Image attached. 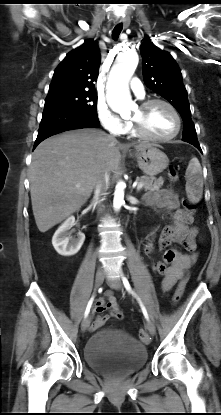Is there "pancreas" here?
Instances as JSON below:
<instances>
[{
	"label": "pancreas",
	"instance_id": "pancreas-1",
	"mask_svg": "<svg viewBox=\"0 0 221 415\" xmlns=\"http://www.w3.org/2000/svg\"><path fill=\"white\" fill-rule=\"evenodd\" d=\"M138 183L142 182L143 183V188L145 191H157L161 188V186L164 183V179L162 177L156 179L154 177H147V176H142L140 178L137 179Z\"/></svg>",
	"mask_w": 221,
	"mask_h": 415
}]
</instances>
